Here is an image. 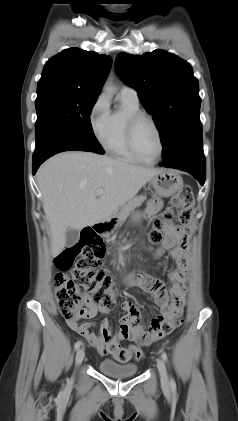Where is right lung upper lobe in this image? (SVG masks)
<instances>
[{
  "instance_id": "cb5924a9",
  "label": "right lung upper lobe",
  "mask_w": 238,
  "mask_h": 421,
  "mask_svg": "<svg viewBox=\"0 0 238 421\" xmlns=\"http://www.w3.org/2000/svg\"><path fill=\"white\" fill-rule=\"evenodd\" d=\"M110 67L108 55L66 49L45 64L38 89L59 88L99 95Z\"/></svg>"
}]
</instances>
